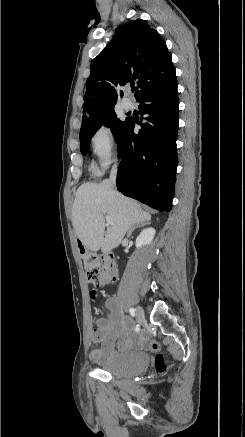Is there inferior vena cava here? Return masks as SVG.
<instances>
[{
  "instance_id": "obj_1",
  "label": "inferior vena cava",
  "mask_w": 245,
  "mask_h": 437,
  "mask_svg": "<svg viewBox=\"0 0 245 437\" xmlns=\"http://www.w3.org/2000/svg\"><path fill=\"white\" fill-rule=\"evenodd\" d=\"M116 176H117V164L115 163L112 167V170L110 172V181L115 186L116 183Z\"/></svg>"
}]
</instances>
